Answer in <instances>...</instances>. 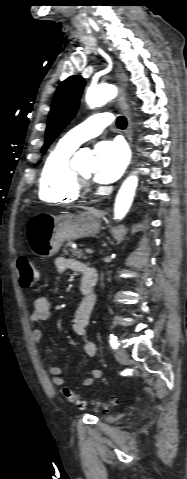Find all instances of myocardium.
<instances>
[{
  "instance_id": "f54148a6",
  "label": "myocardium",
  "mask_w": 187,
  "mask_h": 479,
  "mask_svg": "<svg viewBox=\"0 0 187 479\" xmlns=\"http://www.w3.org/2000/svg\"><path fill=\"white\" fill-rule=\"evenodd\" d=\"M77 177V187L80 193H88L91 190L90 177L75 171Z\"/></svg>"
}]
</instances>
